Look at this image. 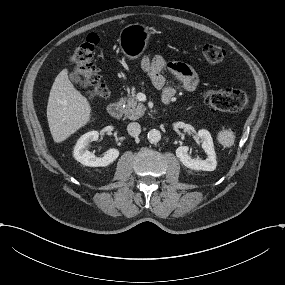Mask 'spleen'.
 Wrapping results in <instances>:
<instances>
[{
	"label": "spleen",
	"mask_w": 285,
	"mask_h": 285,
	"mask_svg": "<svg viewBox=\"0 0 285 285\" xmlns=\"http://www.w3.org/2000/svg\"><path fill=\"white\" fill-rule=\"evenodd\" d=\"M236 135L230 127L223 128L216 133V141L225 149H231L235 145Z\"/></svg>",
	"instance_id": "spleen-1"
}]
</instances>
